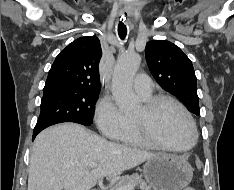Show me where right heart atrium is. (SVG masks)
Here are the masks:
<instances>
[{"mask_svg": "<svg viewBox=\"0 0 234 190\" xmlns=\"http://www.w3.org/2000/svg\"><path fill=\"white\" fill-rule=\"evenodd\" d=\"M95 121L101 133L112 140H119L128 124V118L109 96H103L98 101Z\"/></svg>", "mask_w": 234, "mask_h": 190, "instance_id": "right-heart-atrium-1", "label": "right heart atrium"}]
</instances>
